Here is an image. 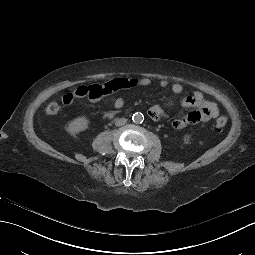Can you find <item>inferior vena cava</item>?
Returning a JSON list of instances; mask_svg holds the SVG:
<instances>
[{"mask_svg":"<svg viewBox=\"0 0 255 255\" xmlns=\"http://www.w3.org/2000/svg\"><path fill=\"white\" fill-rule=\"evenodd\" d=\"M127 123V119L126 118H118L115 120V125L116 126H123Z\"/></svg>","mask_w":255,"mask_h":255,"instance_id":"602c4592","label":"inferior vena cava"}]
</instances>
